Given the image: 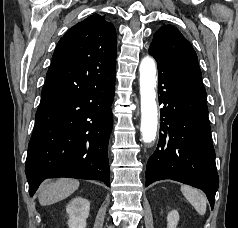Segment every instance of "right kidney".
Here are the masks:
<instances>
[{"mask_svg": "<svg viewBox=\"0 0 238 228\" xmlns=\"http://www.w3.org/2000/svg\"><path fill=\"white\" fill-rule=\"evenodd\" d=\"M90 202L82 197H76L66 207L69 216V228H86V219L89 216Z\"/></svg>", "mask_w": 238, "mask_h": 228, "instance_id": "right-kidney-1", "label": "right kidney"}]
</instances>
